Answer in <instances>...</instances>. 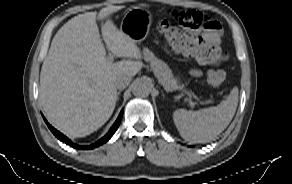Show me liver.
Instances as JSON below:
<instances>
[{"instance_id":"liver-1","label":"liver","mask_w":292,"mask_h":184,"mask_svg":"<svg viewBox=\"0 0 292 184\" xmlns=\"http://www.w3.org/2000/svg\"><path fill=\"white\" fill-rule=\"evenodd\" d=\"M120 9L109 6L75 16L58 30L44 59L42 107L51 124L72 138L90 135L108 121L117 101V77L135 76L143 66L139 47L111 20L102 26L103 39L114 55L129 60L113 63L106 58L96 19Z\"/></svg>"}]
</instances>
